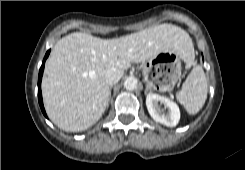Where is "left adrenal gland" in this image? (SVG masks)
I'll list each match as a JSON object with an SVG mask.
<instances>
[{
    "mask_svg": "<svg viewBox=\"0 0 245 170\" xmlns=\"http://www.w3.org/2000/svg\"><path fill=\"white\" fill-rule=\"evenodd\" d=\"M148 91H149V88L146 87V89H145V94H147Z\"/></svg>",
    "mask_w": 245,
    "mask_h": 170,
    "instance_id": "obj_1",
    "label": "left adrenal gland"
}]
</instances>
